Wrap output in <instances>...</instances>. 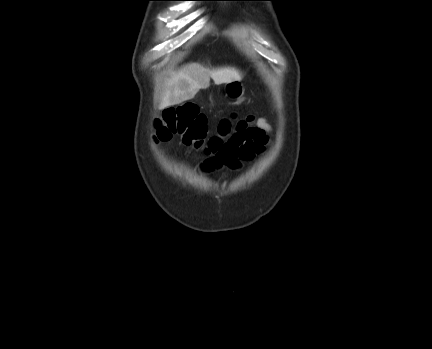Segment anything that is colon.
Here are the masks:
<instances>
[{"mask_svg":"<svg viewBox=\"0 0 432 349\" xmlns=\"http://www.w3.org/2000/svg\"><path fill=\"white\" fill-rule=\"evenodd\" d=\"M252 120V117H248L233 124L231 120L224 119L219 124L218 135L207 139L206 116L195 104H184L165 110L162 117L156 120V139L166 141L179 135L184 145L192 149H205L212 155L210 159H214L224 152L233 136L248 129ZM225 138H228L227 141H224Z\"/></svg>","mask_w":432,"mask_h":349,"instance_id":"obj_1","label":"colon"}]
</instances>
